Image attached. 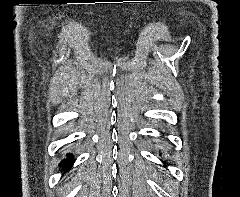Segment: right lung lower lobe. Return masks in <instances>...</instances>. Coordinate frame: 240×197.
<instances>
[{
    "label": "right lung lower lobe",
    "instance_id": "1",
    "mask_svg": "<svg viewBox=\"0 0 240 197\" xmlns=\"http://www.w3.org/2000/svg\"><path fill=\"white\" fill-rule=\"evenodd\" d=\"M73 163H74V160L71 154H67V158L62 161L63 167H68V168L72 167Z\"/></svg>",
    "mask_w": 240,
    "mask_h": 197
}]
</instances>
